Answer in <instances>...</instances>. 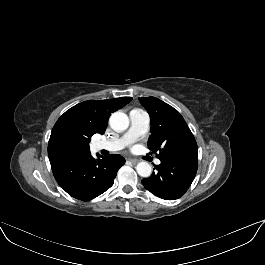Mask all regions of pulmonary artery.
<instances>
[{
  "mask_svg": "<svg viewBox=\"0 0 265 265\" xmlns=\"http://www.w3.org/2000/svg\"><path fill=\"white\" fill-rule=\"evenodd\" d=\"M129 116L130 127L127 132L115 139L98 141L96 148L99 150L118 151L126 148L148 132L150 120L146 112L140 109H133L130 111ZM156 163L159 164L160 160H156Z\"/></svg>",
  "mask_w": 265,
  "mask_h": 265,
  "instance_id": "pulmonary-artery-1",
  "label": "pulmonary artery"
}]
</instances>
